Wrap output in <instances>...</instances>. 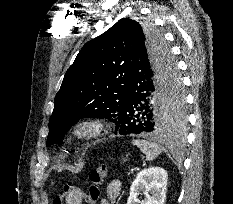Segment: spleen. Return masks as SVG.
Here are the masks:
<instances>
[{
  "label": "spleen",
  "instance_id": "1",
  "mask_svg": "<svg viewBox=\"0 0 233 204\" xmlns=\"http://www.w3.org/2000/svg\"><path fill=\"white\" fill-rule=\"evenodd\" d=\"M132 144L138 147L145 155L148 161H153L158 155L163 151V148L155 142H150L146 140H133ZM174 144H171L172 153L176 154V149Z\"/></svg>",
  "mask_w": 233,
  "mask_h": 204
}]
</instances>
